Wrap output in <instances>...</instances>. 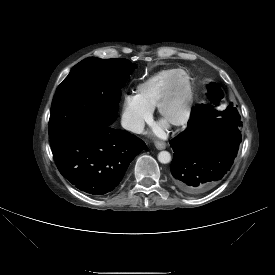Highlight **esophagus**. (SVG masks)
I'll use <instances>...</instances> for the list:
<instances>
[{"instance_id": "1", "label": "esophagus", "mask_w": 275, "mask_h": 275, "mask_svg": "<svg viewBox=\"0 0 275 275\" xmlns=\"http://www.w3.org/2000/svg\"><path fill=\"white\" fill-rule=\"evenodd\" d=\"M155 147L159 150L165 149L166 148V143L162 141H156L155 142Z\"/></svg>"}]
</instances>
